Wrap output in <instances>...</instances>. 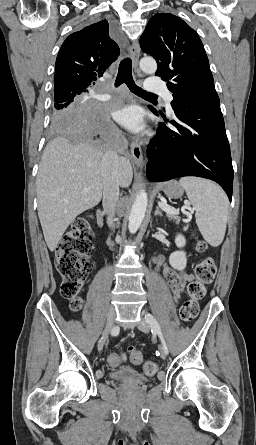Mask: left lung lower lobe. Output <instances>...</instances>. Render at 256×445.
I'll list each match as a JSON object with an SVG mask.
<instances>
[{"instance_id":"obj_1","label":"left lung lower lobe","mask_w":256,"mask_h":445,"mask_svg":"<svg viewBox=\"0 0 256 445\" xmlns=\"http://www.w3.org/2000/svg\"><path fill=\"white\" fill-rule=\"evenodd\" d=\"M174 130L160 123L157 136L147 149V177L167 181L183 176H198L217 182L232 199L233 167L230 147L220 107L191 102L172 106ZM153 113L163 112L151 108Z\"/></svg>"}]
</instances>
